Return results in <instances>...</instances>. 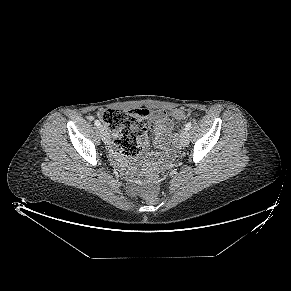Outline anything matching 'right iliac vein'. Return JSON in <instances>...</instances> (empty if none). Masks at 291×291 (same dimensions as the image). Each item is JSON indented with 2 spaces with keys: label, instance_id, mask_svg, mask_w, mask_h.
Returning a JSON list of instances; mask_svg holds the SVG:
<instances>
[{
  "label": "right iliac vein",
  "instance_id": "obj_1",
  "mask_svg": "<svg viewBox=\"0 0 291 291\" xmlns=\"http://www.w3.org/2000/svg\"><path fill=\"white\" fill-rule=\"evenodd\" d=\"M100 133H101L102 140L108 144L110 142V136L107 129L105 127H101Z\"/></svg>",
  "mask_w": 291,
  "mask_h": 291
}]
</instances>
